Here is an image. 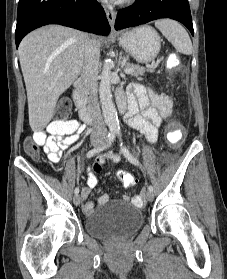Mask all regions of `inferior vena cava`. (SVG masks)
<instances>
[{
	"label": "inferior vena cava",
	"mask_w": 227,
	"mask_h": 279,
	"mask_svg": "<svg viewBox=\"0 0 227 279\" xmlns=\"http://www.w3.org/2000/svg\"><path fill=\"white\" fill-rule=\"evenodd\" d=\"M100 49L98 44L90 39L85 50V59L81 72V77L85 87L89 91L91 99V116L93 121V133L94 137L105 136L107 129L105 127L103 117L97 98V79L99 68Z\"/></svg>",
	"instance_id": "602c4592"
}]
</instances>
